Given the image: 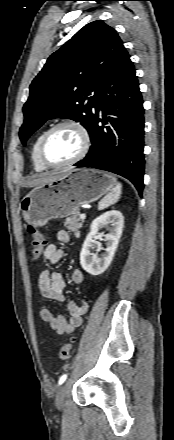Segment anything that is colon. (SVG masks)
Listing matches in <instances>:
<instances>
[{"label":"colon","mask_w":174,"mask_h":440,"mask_svg":"<svg viewBox=\"0 0 174 440\" xmlns=\"http://www.w3.org/2000/svg\"><path fill=\"white\" fill-rule=\"evenodd\" d=\"M28 231L31 235V257L33 260H36L42 254L45 247V238L44 236L33 226L28 228ZM72 343L68 342L63 345L60 349L59 357L61 360H68L71 355Z\"/></svg>","instance_id":"colon-1"}]
</instances>
